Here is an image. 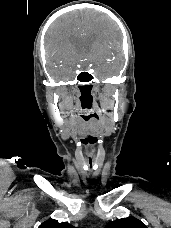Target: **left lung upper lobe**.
I'll return each mask as SVG.
<instances>
[{
    "instance_id": "1",
    "label": "left lung upper lobe",
    "mask_w": 171,
    "mask_h": 228,
    "mask_svg": "<svg viewBox=\"0 0 171 228\" xmlns=\"http://www.w3.org/2000/svg\"><path fill=\"white\" fill-rule=\"evenodd\" d=\"M105 228H147L140 220L134 217L117 219L108 223Z\"/></svg>"
}]
</instances>
